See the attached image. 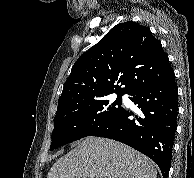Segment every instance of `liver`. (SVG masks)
<instances>
[{
  "label": "liver",
  "instance_id": "liver-1",
  "mask_svg": "<svg viewBox=\"0 0 194 178\" xmlns=\"http://www.w3.org/2000/svg\"><path fill=\"white\" fill-rule=\"evenodd\" d=\"M157 178L156 165L131 147L87 137L51 167L47 178Z\"/></svg>",
  "mask_w": 194,
  "mask_h": 178
}]
</instances>
